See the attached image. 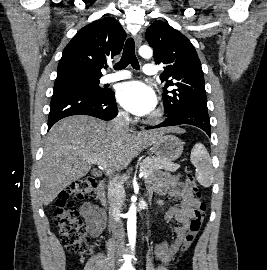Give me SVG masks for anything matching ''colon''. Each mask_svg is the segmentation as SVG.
I'll return each mask as SVG.
<instances>
[{
    "mask_svg": "<svg viewBox=\"0 0 267 270\" xmlns=\"http://www.w3.org/2000/svg\"><path fill=\"white\" fill-rule=\"evenodd\" d=\"M186 185L196 196L199 204L194 210L188 229L181 245V254H186L198 236L206 213V206L200 200V192L194 177L189 174ZM96 182L91 177L74 181L58 198L54 212V223L63 246L71 253L82 255L87 247V235L83 220L75 204L89 199L94 192Z\"/></svg>",
    "mask_w": 267,
    "mask_h": 270,
    "instance_id": "5ec220e1",
    "label": "colon"
}]
</instances>
